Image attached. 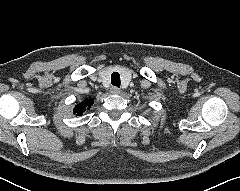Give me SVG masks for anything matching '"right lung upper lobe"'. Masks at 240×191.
Segmentation results:
<instances>
[{
	"label": "right lung upper lobe",
	"instance_id": "cb5924a9",
	"mask_svg": "<svg viewBox=\"0 0 240 191\" xmlns=\"http://www.w3.org/2000/svg\"><path fill=\"white\" fill-rule=\"evenodd\" d=\"M94 100L92 99H86L84 101H82L81 103H79L77 106H75L74 108V114L81 116L83 114V112H85V110L90 109V107L93 105Z\"/></svg>",
	"mask_w": 240,
	"mask_h": 191
}]
</instances>
